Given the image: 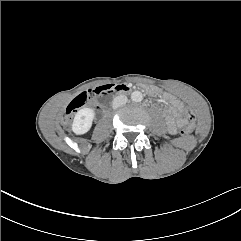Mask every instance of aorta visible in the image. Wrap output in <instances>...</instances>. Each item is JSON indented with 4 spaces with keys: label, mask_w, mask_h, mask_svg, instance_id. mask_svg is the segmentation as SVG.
<instances>
[{
    "label": "aorta",
    "mask_w": 241,
    "mask_h": 241,
    "mask_svg": "<svg viewBox=\"0 0 241 241\" xmlns=\"http://www.w3.org/2000/svg\"><path fill=\"white\" fill-rule=\"evenodd\" d=\"M131 99L134 102H139L143 99V94L140 91H134L131 94Z\"/></svg>",
    "instance_id": "1"
}]
</instances>
